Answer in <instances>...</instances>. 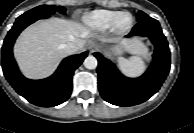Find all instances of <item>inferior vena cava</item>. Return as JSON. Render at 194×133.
<instances>
[{"label": "inferior vena cava", "instance_id": "602c4592", "mask_svg": "<svg viewBox=\"0 0 194 133\" xmlns=\"http://www.w3.org/2000/svg\"><path fill=\"white\" fill-rule=\"evenodd\" d=\"M63 48L67 54H73L78 51V47L73 43H67Z\"/></svg>", "mask_w": 194, "mask_h": 133}]
</instances>
